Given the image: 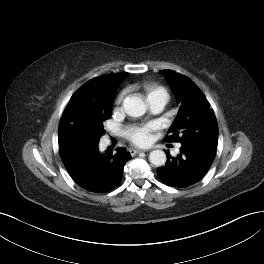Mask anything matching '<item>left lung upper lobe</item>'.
Masks as SVG:
<instances>
[{
    "instance_id": "obj_1",
    "label": "left lung upper lobe",
    "mask_w": 264,
    "mask_h": 264,
    "mask_svg": "<svg viewBox=\"0 0 264 264\" xmlns=\"http://www.w3.org/2000/svg\"><path fill=\"white\" fill-rule=\"evenodd\" d=\"M168 81L180 109L170 127L167 142L205 143L217 147L218 126L209 103L198 87L187 77L172 71H161Z\"/></svg>"
}]
</instances>
